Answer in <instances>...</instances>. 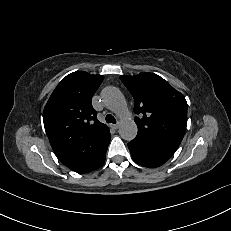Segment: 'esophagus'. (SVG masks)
Masks as SVG:
<instances>
[{
  "label": "esophagus",
  "instance_id": "34e87169",
  "mask_svg": "<svg viewBox=\"0 0 231 231\" xmlns=\"http://www.w3.org/2000/svg\"><path fill=\"white\" fill-rule=\"evenodd\" d=\"M118 127H119L118 123L117 124H111V128H113V129H118Z\"/></svg>",
  "mask_w": 231,
  "mask_h": 231
}]
</instances>
